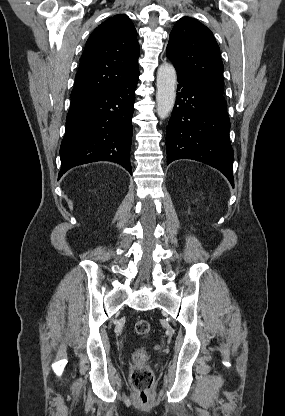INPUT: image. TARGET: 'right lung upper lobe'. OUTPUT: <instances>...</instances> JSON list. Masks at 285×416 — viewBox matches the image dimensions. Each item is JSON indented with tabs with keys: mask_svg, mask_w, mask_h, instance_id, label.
<instances>
[{
	"mask_svg": "<svg viewBox=\"0 0 285 416\" xmlns=\"http://www.w3.org/2000/svg\"><path fill=\"white\" fill-rule=\"evenodd\" d=\"M140 47L131 20L115 15L87 40L71 92V104L102 95L139 75Z\"/></svg>",
	"mask_w": 285,
	"mask_h": 416,
	"instance_id": "1",
	"label": "right lung upper lobe"
}]
</instances>
